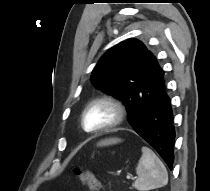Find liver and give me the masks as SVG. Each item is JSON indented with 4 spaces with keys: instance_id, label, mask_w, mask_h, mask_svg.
I'll list each match as a JSON object with an SVG mask.
<instances>
[{
    "instance_id": "1",
    "label": "liver",
    "mask_w": 210,
    "mask_h": 191,
    "mask_svg": "<svg viewBox=\"0 0 210 191\" xmlns=\"http://www.w3.org/2000/svg\"><path fill=\"white\" fill-rule=\"evenodd\" d=\"M119 142H121V139H119V138H108V139L100 141L97 145L98 146H109V145L117 144Z\"/></svg>"
}]
</instances>
